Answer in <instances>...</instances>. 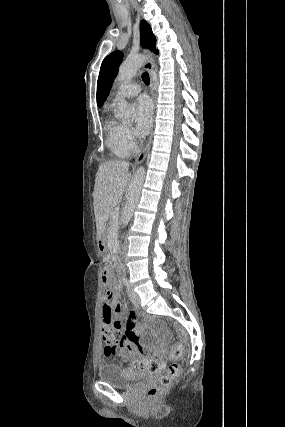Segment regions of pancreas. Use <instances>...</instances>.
Returning a JSON list of instances; mask_svg holds the SVG:
<instances>
[{
	"instance_id": "obj_1",
	"label": "pancreas",
	"mask_w": 285,
	"mask_h": 427,
	"mask_svg": "<svg viewBox=\"0 0 285 427\" xmlns=\"http://www.w3.org/2000/svg\"><path fill=\"white\" fill-rule=\"evenodd\" d=\"M110 217H111V220H110L111 226L109 228V234L112 236V232L115 228V219L113 218V212H111Z\"/></svg>"
}]
</instances>
